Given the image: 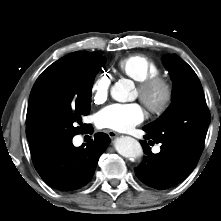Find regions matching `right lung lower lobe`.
<instances>
[{"mask_svg": "<svg viewBox=\"0 0 221 221\" xmlns=\"http://www.w3.org/2000/svg\"><path fill=\"white\" fill-rule=\"evenodd\" d=\"M94 138L86 147H74L70 140L31 149L32 160L40 177L52 188L63 191L86 185L110 142L109 136L104 133H96Z\"/></svg>", "mask_w": 221, "mask_h": 221, "instance_id": "obj_1", "label": "right lung lower lobe"}]
</instances>
